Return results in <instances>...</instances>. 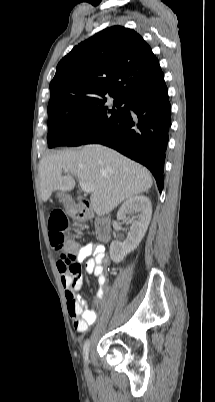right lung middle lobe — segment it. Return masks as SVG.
Instances as JSON below:
<instances>
[{
    "mask_svg": "<svg viewBox=\"0 0 215 402\" xmlns=\"http://www.w3.org/2000/svg\"><path fill=\"white\" fill-rule=\"evenodd\" d=\"M113 105L105 94L84 98L59 97L48 104V147L79 146L86 136L104 130L122 114L125 99L117 95Z\"/></svg>",
    "mask_w": 215,
    "mask_h": 402,
    "instance_id": "right-lung-middle-lobe-1",
    "label": "right lung middle lobe"
}]
</instances>
